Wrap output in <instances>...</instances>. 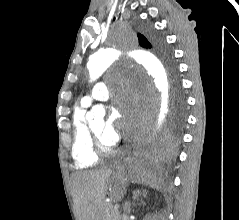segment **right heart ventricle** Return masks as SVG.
Here are the masks:
<instances>
[{"label":"right heart ventricle","mask_w":239,"mask_h":220,"mask_svg":"<svg viewBox=\"0 0 239 220\" xmlns=\"http://www.w3.org/2000/svg\"><path fill=\"white\" fill-rule=\"evenodd\" d=\"M86 107L83 104L77 106L72 117V158L75 166L78 168L92 167L99 160L98 155L93 149L89 126L85 120Z\"/></svg>","instance_id":"right-heart-ventricle-1"}]
</instances>
